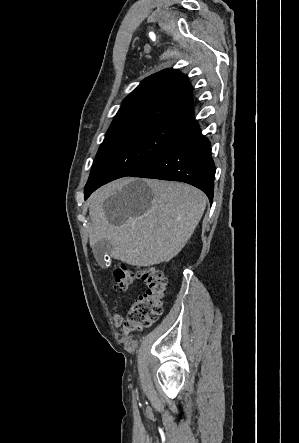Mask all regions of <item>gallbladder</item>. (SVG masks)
Here are the masks:
<instances>
[{
    "instance_id": "bac80fb5",
    "label": "gallbladder",
    "mask_w": 299,
    "mask_h": 443,
    "mask_svg": "<svg viewBox=\"0 0 299 443\" xmlns=\"http://www.w3.org/2000/svg\"><path fill=\"white\" fill-rule=\"evenodd\" d=\"M112 244L108 240H100L93 247V254L100 266H105V257L110 254Z\"/></svg>"
}]
</instances>
